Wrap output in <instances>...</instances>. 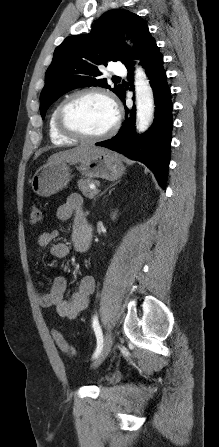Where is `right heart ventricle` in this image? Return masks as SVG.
Here are the masks:
<instances>
[{
	"label": "right heart ventricle",
	"mask_w": 219,
	"mask_h": 447,
	"mask_svg": "<svg viewBox=\"0 0 219 447\" xmlns=\"http://www.w3.org/2000/svg\"><path fill=\"white\" fill-rule=\"evenodd\" d=\"M59 107L57 104L51 111L48 119V136L53 143L56 144H68L77 141L76 139L69 138L60 133L56 127V112Z\"/></svg>",
	"instance_id": "right-heart-ventricle-1"
}]
</instances>
